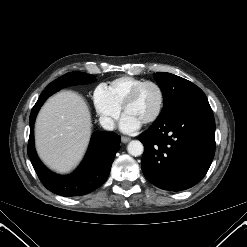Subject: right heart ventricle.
<instances>
[{
	"instance_id": "e07e8e85",
	"label": "right heart ventricle",
	"mask_w": 247,
	"mask_h": 247,
	"mask_svg": "<svg viewBox=\"0 0 247 247\" xmlns=\"http://www.w3.org/2000/svg\"><path fill=\"white\" fill-rule=\"evenodd\" d=\"M143 81L145 80L133 76H122L112 80L106 88L108 89L113 101L119 107H122L125 99L133 88Z\"/></svg>"
}]
</instances>
